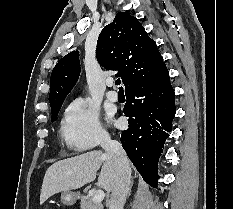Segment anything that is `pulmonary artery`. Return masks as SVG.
Segmentation results:
<instances>
[{
	"label": "pulmonary artery",
	"instance_id": "pulmonary-artery-1",
	"mask_svg": "<svg viewBox=\"0 0 233 209\" xmlns=\"http://www.w3.org/2000/svg\"><path fill=\"white\" fill-rule=\"evenodd\" d=\"M107 86L109 88H112L114 86V81L112 79L107 81ZM106 97L110 100V101H117L118 100V93L114 90H109L106 93Z\"/></svg>",
	"mask_w": 233,
	"mask_h": 209
}]
</instances>
